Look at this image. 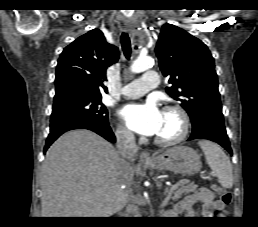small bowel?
Returning a JSON list of instances; mask_svg holds the SVG:
<instances>
[{
	"label": "small bowel",
	"instance_id": "1",
	"mask_svg": "<svg viewBox=\"0 0 258 227\" xmlns=\"http://www.w3.org/2000/svg\"><path fill=\"white\" fill-rule=\"evenodd\" d=\"M197 204H202V209L200 216L210 217L216 212H221L224 209V204L216 200L211 191L207 189H201L193 194L186 196L182 199L172 211V214L177 215L184 213L189 217L197 216L194 211V206Z\"/></svg>",
	"mask_w": 258,
	"mask_h": 227
}]
</instances>
